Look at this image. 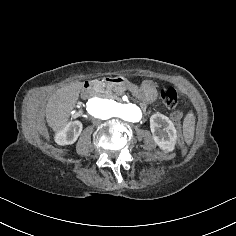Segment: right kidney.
<instances>
[{
	"mask_svg": "<svg viewBox=\"0 0 236 236\" xmlns=\"http://www.w3.org/2000/svg\"><path fill=\"white\" fill-rule=\"evenodd\" d=\"M81 132L82 124L79 121L70 122L63 131L56 134V142L60 145L74 144Z\"/></svg>",
	"mask_w": 236,
	"mask_h": 236,
	"instance_id": "obj_1",
	"label": "right kidney"
}]
</instances>
